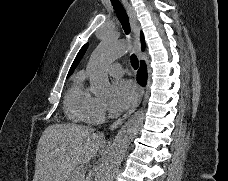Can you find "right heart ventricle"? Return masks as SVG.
<instances>
[{"label": "right heart ventricle", "mask_w": 228, "mask_h": 181, "mask_svg": "<svg viewBox=\"0 0 228 181\" xmlns=\"http://www.w3.org/2000/svg\"><path fill=\"white\" fill-rule=\"evenodd\" d=\"M80 70L73 76V84L66 96V112L73 120H87L88 108L92 99L90 91L85 87L87 80L93 82L92 73Z\"/></svg>", "instance_id": "obj_1"}]
</instances>
